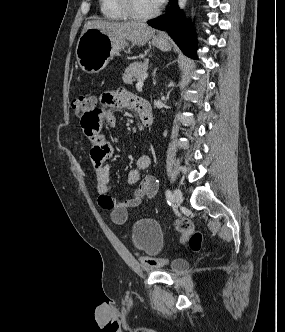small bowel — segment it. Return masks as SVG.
Segmentation results:
<instances>
[{"label": "small bowel", "instance_id": "1", "mask_svg": "<svg viewBox=\"0 0 285 332\" xmlns=\"http://www.w3.org/2000/svg\"><path fill=\"white\" fill-rule=\"evenodd\" d=\"M113 109H124L139 116L137 98L124 88L105 92L99 97V106H91L88 111L78 115V122L82 124V131L92 140L90 156L95 167L96 191L99 206L109 212L111 221L116 225L126 222L131 209L152 199L158 190V183L152 175H146L141 180L134 193L125 199L117 200L111 196L110 166L107 160L113 157L114 147L103 140L99 133H104L106 126H111ZM151 164V157L142 154L135 166L129 171L127 181L130 185L138 184L141 173Z\"/></svg>", "mask_w": 285, "mask_h": 332}]
</instances>
